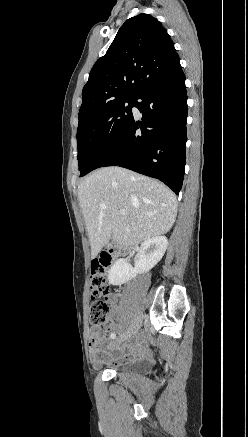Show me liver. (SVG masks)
<instances>
[{"instance_id": "1", "label": "liver", "mask_w": 248, "mask_h": 437, "mask_svg": "<svg viewBox=\"0 0 248 437\" xmlns=\"http://www.w3.org/2000/svg\"><path fill=\"white\" fill-rule=\"evenodd\" d=\"M77 193L92 258L111 239L131 247L166 234L177 215L176 196L168 187L120 167L94 171L79 183Z\"/></svg>"}]
</instances>
